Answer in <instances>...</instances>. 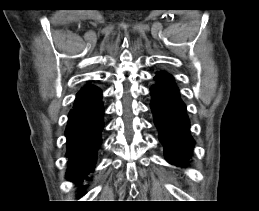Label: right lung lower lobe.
Masks as SVG:
<instances>
[{
  "label": "right lung lower lobe",
  "instance_id": "right-lung-lower-lobe-1",
  "mask_svg": "<svg viewBox=\"0 0 259 211\" xmlns=\"http://www.w3.org/2000/svg\"><path fill=\"white\" fill-rule=\"evenodd\" d=\"M103 113L99 88L89 86L78 92L65 131L69 180L79 182L93 171L101 145Z\"/></svg>",
  "mask_w": 259,
  "mask_h": 211
}]
</instances>
